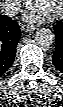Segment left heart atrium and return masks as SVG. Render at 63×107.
<instances>
[{
    "label": "left heart atrium",
    "instance_id": "left-heart-atrium-1",
    "mask_svg": "<svg viewBox=\"0 0 63 107\" xmlns=\"http://www.w3.org/2000/svg\"><path fill=\"white\" fill-rule=\"evenodd\" d=\"M48 12H46L45 10L39 8L38 6H32L29 8L26 17L30 20V21H41L43 19H45L48 16Z\"/></svg>",
    "mask_w": 63,
    "mask_h": 107
}]
</instances>
